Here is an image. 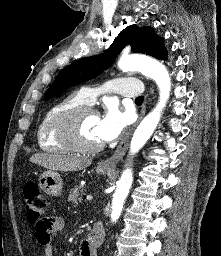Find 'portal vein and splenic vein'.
Returning a JSON list of instances; mask_svg holds the SVG:
<instances>
[{
    "mask_svg": "<svg viewBox=\"0 0 221 256\" xmlns=\"http://www.w3.org/2000/svg\"><path fill=\"white\" fill-rule=\"evenodd\" d=\"M92 199H93L92 195H87V196H86V200H87V201H91Z\"/></svg>",
    "mask_w": 221,
    "mask_h": 256,
    "instance_id": "18ae733b",
    "label": "portal vein and splenic vein"
}]
</instances>
